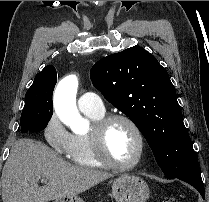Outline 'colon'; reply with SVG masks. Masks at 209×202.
Masks as SVG:
<instances>
[{
	"instance_id": "5ec220e1",
	"label": "colon",
	"mask_w": 209,
	"mask_h": 202,
	"mask_svg": "<svg viewBox=\"0 0 209 202\" xmlns=\"http://www.w3.org/2000/svg\"><path fill=\"white\" fill-rule=\"evenodd\" d=\"M162 202H178L175 198L168 197L162 200Z\"/></svg>"
}]
</instances>
